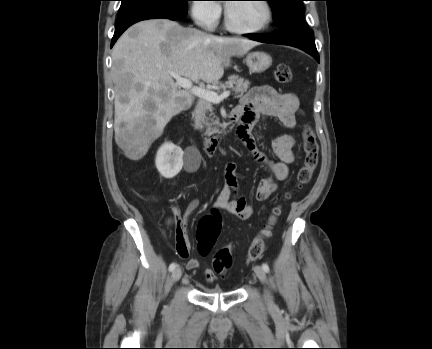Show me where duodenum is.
Listing matches in <instances>:
<instances>
[{
  "instance_id": "duodenum-1",
  "label": "duodenum",
  "mask_w": 432,
  "mask_h": 349,
  "mask_svg": "<svg viewBox=\"0 0 432 349\" xmlns=\"http://www.w3.org/2000/svg\"><path fill=\"white\" fill-rule=\"evenodd\" d=\"M240 116H241V112L234 110L229 117L227 126L224 127L220 133L210 138H207L205 140L204 146H205L206 154L208 156H213L217 153L221 141L229 132H231L235 128L236 123L240 118Z\"/></svg>"
}]
</instances>
